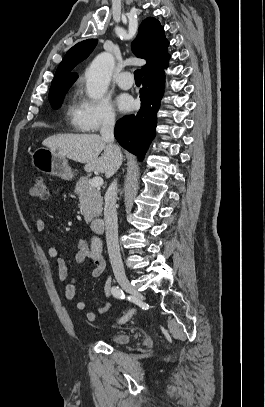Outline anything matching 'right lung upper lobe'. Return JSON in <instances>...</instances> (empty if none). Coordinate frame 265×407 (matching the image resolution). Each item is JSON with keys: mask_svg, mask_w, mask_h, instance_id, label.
I'll list each match as a JSON object with an SVG mask.
<instances>
[{"mask_svg": "<svg viewBox=\"0 0 265 407\" xmlns=\"http://www.w3.org/2000/svg\"><path fill=\"white\" fill-rule=\"evenodd\" d=\"M96 44V39H88L69 49L56 70L51 86L60 83H74L78 75L72 74L71 70L89 56ZM168 45L164 28L158 20L150 17L141 23L139 33L132 44V50L137 57L146 60L147 63L143 67L144 73L168 55Z\"/></svg>", "mask_w": 265, "mask_h": 407, "instance_id": "right-lung-upper-lobe-1", "label": "right lung upper lobe"}]
</instances>
